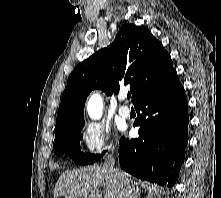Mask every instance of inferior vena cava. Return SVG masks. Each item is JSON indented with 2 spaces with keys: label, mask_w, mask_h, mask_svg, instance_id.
I'll return each instance as SVG.
<instances>
[{
  "label": "inferior vena cava",
  "mask_w": 221,
  "mask_h": 198,
  "mask_svg": "<svg viewBox=\"0 0 221 198\" xmlns=\"http://www.w3.org/2000/svg\"><path fill=\"white\" fill-rule=\"evenodd\" d=\"M104 166L112 171L118 179L123 191L124 198H137L133 184H131L130 180L123 172L115 168L114 157L110 156Z\"/></svg>",
  "instance_id": "inferior-vena-cava-1"
}]
</instances>
